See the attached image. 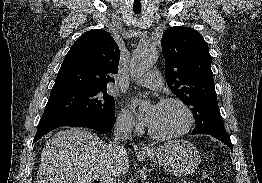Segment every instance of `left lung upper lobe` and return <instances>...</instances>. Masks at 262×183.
I'll list each match as a JSON object with an SVG mask.
<instances>
[{
    "instance_id": "obj_1",
    "label": "left lung upper lobe",
    "mask_w": 262,
    "mask_h": 183,
    "mask_svg": "<svg viewBox=\"0 0 262 183\" xmlns=\"http://www.w3.org/2000/svg\"><path fill=\"white\" fill-rule=\"evenodd\" d=\"M166 82L191 107L196 126L192 132L225 130L219 113L208 44L194 29L172 27L162 36Z\"/></svg>"
}]
</instances>
